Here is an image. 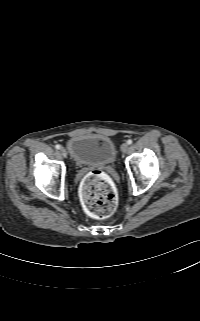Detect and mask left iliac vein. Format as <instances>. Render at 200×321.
Here are the masks:
<instances>
[{"mask_svg":"<svg viewBox=\"0 0 200 321\" xmlns=\"http://www.w3.org/2000/svg\"><path fill=\"white\" fill-rule=\"evenodd\" d=\"M128 149H129V145H128L127 143H123V144L121 145V151H122L123 153H126V152L128 151Z\"/></svg>","mask_w":200,"mask_h":321,"instance_id":"obj_1","label":"left iliac vein"}]
</instances>
